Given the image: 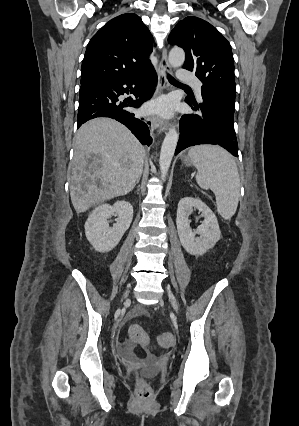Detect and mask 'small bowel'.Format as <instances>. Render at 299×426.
Wrapping results in <instances>:
<instances>
[{"label": "small bowel", "mask_w": 299, "mask_h": 426, "mask_svg": "<svg viewBox=\"0 0 299 426\" xmlns=\"http://www.w3.org/2000/svg\"><path fill=\"white\" fill-rule=\"evenodd\" d=\"M145 310L142 308H136L133 312L134 316L145 315ZM120 352L124 359L130 364H137L141 357L136 353V342L127 341L120 346Z\"/></svg>", "instance_id": "obj_1"}]
</instances>
